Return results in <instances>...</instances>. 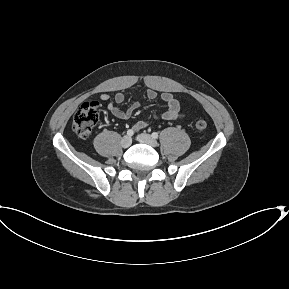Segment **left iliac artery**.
I'll use <instances>...</instances> for the list:
<instances>
[{"mask_svg": "<svg viewBox=\"0 0 289 289\" xmlns=\"http://www.w3.org/2000/svg\"><path fill=\"white\" fill-rule=\"evenodd\" d=\"M152 137H153L154 139L158 138V133L153 132V133H152Z\"/></svg>", "mask_w": 289, "mask_h": 289, "instance_id": "obj_1", "label": "left iliac artery"}]
</instances>
